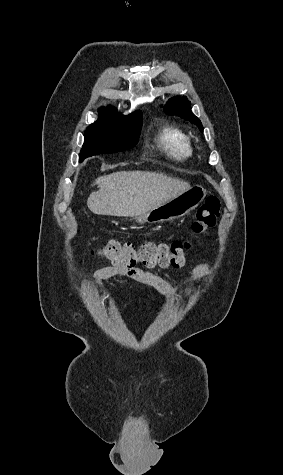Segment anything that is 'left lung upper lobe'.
Masks as SVG:
<instances>
[{"mask_svg": "<svg viewBox=\"0 0 283 475\" xmlns=\"http://www.w3.org/2000/svg\"><path fill=\"white\" fill-rule=\"evenodd\" d=\"M164 111L171 115H177L185 120H189L197 125L200 131L203 132L201 121L191 112L190 101H188L185 96L171 98L164 106Z\"/></svg>", "mask_w": 283, "mask_h": 475, "instance_id": "obj_1", "label": "left lung upper lobe"}]
</instances>
